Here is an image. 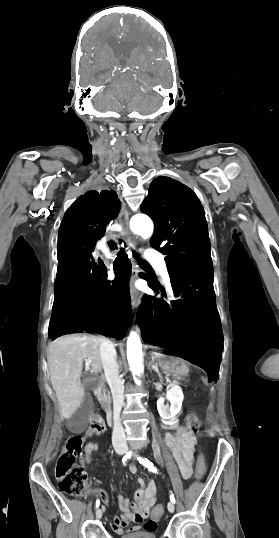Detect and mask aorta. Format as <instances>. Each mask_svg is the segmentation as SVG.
Wrapping results in <instances>:
<instances>
[{
    "mask_svg": "<svg viewBox=\"0 0 279 538\" xmlns=\"http://www.w3.org/2000/svg\"><path fill=\"white\" fill-rule=\"evenodd\" d=\"M130 228L135 234L142 236L144 239H148L153 234L154 226L152 220L148 216L137 214L131 218ZM127 359L135 383L140 384L138 377L141 376L144 370L142 362V344L139 335L134 331H131L127 340Z\"/></svg>",
    "mask_w": 279,
    "mask_h": 538,
    "instance_id": "1",
    "label": "aorta"
}]
</instances>
